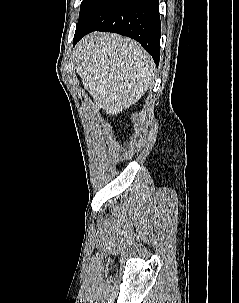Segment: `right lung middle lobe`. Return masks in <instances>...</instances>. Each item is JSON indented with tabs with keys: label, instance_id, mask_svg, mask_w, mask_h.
<instances>
[{
	"label": "right lung middle lobe",
	"instance_id": "right-lung-middle-lobe-1",
	"mask_svg": "<svg viewBox=\"0 0 239 303\" xmlns=\"http://www.w3.org/2000/svg\"><path fill=\"white\" fill-rule=\"evenodd\" d=\"M107 0H83L80 7L76 32L81 31Z\"/></svg>",
	"mask_w": 239,
	"mask_h": 303
}]
</instances>
